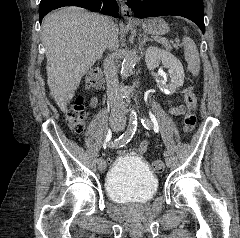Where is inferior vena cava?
<instances>
[{
    "mask_svg": "<svg viewBox=\"0 0 240 238\" xmlns=\"http://www.w3.org/2000/svg\"><path fill=\"white\" fill-rule=\"evenodd\" d=\"M97 22L105 29L112 23L111 19L104 16H97ZM104 75L107 83V95L111 106L112 117L125 121V106L119 96V83L117 68L114 62V55L108 54L103 63Z\"/></svg>",
    "mask_w": 240,
    "mask_h": 238,
    "instance_id": "inferior-vena-cava-1",
    "label": "inferior vena cava"
}]
</instances>
